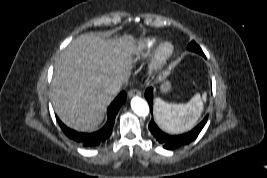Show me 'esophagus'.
Segmentation results:
<instances>
[{
  "mask_svg": "<svg viewBox=\"0 0 267 178\" xmlns=\"http://www.w3.org/2000/svg\"><path fill=\"white\" fill-rule=\"evenodd\" d=\"M141 94L140 90L134 88L128 91V96L133 97V96H139Z\"/></svg>",
  "mask_w": 267,
  "mask_h": 178,
  "instance_id": "obj_1",
  "label": "esophagus"
}]
</instances>
